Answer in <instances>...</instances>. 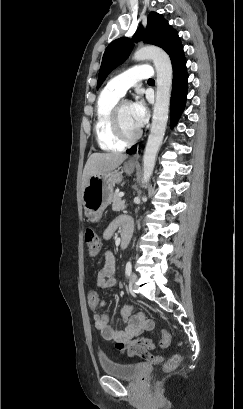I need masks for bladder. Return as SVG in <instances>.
Returning a JSON list of instances; mask_svg holds the SVG:
<instances>
[{
    "label": "bladder",
    "mask_w": 243,
    "mask_h": 409,
    "mask_svg": "<svg viewBox=\"0 0 243 409\" xmlns=\"http://www.w3.org/2000/svg\"><path fill=\"white\" fill-rule=\"evenodd\" d=\"M100 364L105 374L124 380H135L141 372L139 364L122 363L109 359H102Z\"/></svg>",
    "instance_id": "1"
}]
</instances>
